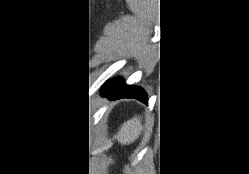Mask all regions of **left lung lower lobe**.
<instances>
[{
    "instance_id": "obj_1",
    "label": "left lung lower lobe",
    "mask_w": 249,
    "mask_h": 174,
    "mask_svg": "<svg viewBox=\"0 0 249 174\" xmlns=\"http://www.w3.org/2000/svg\"><path fill=\"white\" fill-rule=\"evenodd\" d=\"M101 93L112 99L135 98L144 103L148 102L147 94L142 88L127 86L121 78L106 82Z\"/></svg>"
}]
</instances>
